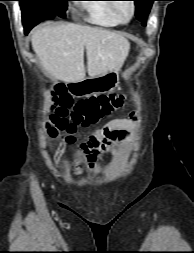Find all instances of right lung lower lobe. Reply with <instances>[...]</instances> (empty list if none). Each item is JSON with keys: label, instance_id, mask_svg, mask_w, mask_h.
<instances>
[{"label": "right lung lower lobe", "instance_id": "obj_1", "mask_svg": "<svg viewBox=\"0 0 194 253\" xmlns=\"http://www.w3.org/2000/svg\"><path fill=\"white\" fill-rule=\"evenodd\" d=\"M23 26H24L25 34H28V32L31 30V28L34 27L31 24H25V23H23Z\"/></svg>", "mask_w": 194, "mask_h": 253}]
</instances>
